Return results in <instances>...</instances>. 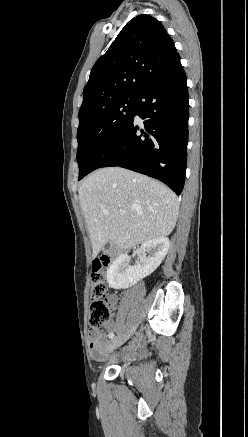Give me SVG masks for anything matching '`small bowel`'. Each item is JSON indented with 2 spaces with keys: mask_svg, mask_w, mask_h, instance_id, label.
<instances>
[{
  "mask_svg": "<svg viewBox=\"0 0 248 437\" xmlns=\"http://www.w3.org/2000/svg\"><path fill=\"white\" fill-rule=\"evenodd\" d=\"M110 302L112 304H115L117 302L116 297L112 296L110 298ZM107 329L111 331L113 329L112 325H107ZM142 343H143V338L140 336L137 337L133 341V345L128 349V351L133 352L134 350H137ZM89 344H90V349L92 350V355L95 359H100L104 357L107 344L105 342V338L103 334L99 330L93 329L89 332Z\"/></svg>",
  "mask_w": 248,
  "mask_h": 437,
  "instance_id": "small-bowel-1",
  "label": "small bowel"
}]
</instances>
